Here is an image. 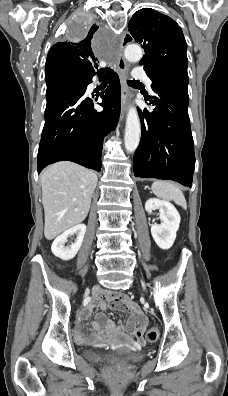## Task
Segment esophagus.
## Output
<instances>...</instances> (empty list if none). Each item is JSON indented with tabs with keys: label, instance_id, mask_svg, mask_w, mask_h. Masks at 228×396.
Returning <instances> with one entry per match:
<instances>
[{
	"label": "esophagus",
	"instance_id": "esophagus-1",
	"mask_svg": "<svg viewBox=\"0 0 228 396\" xmlns=\"http://www.w3.org/2000/svg\"><path fill=\"white\" fill-rule=\"evenodd\" d=\"M128 43V37L125 35L121 40L120 47L124 48ZM117 72L121 83V121L124 119L125 113L128 108L129 89L126 84L127 79V64L122 55L119 56L117 62Z\"/></svg>",
	"mask_w": 228,
	"mask_h": 396
}]
</instances>
